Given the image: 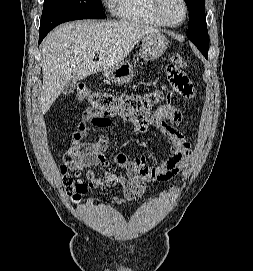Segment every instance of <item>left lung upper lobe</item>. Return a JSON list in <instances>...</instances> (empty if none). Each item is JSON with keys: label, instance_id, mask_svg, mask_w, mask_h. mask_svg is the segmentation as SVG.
Returning <instances> with one entry per match:
<instances>
[{"label": "left lung upper lobe", "instance_id": "obj_1", "mask_svg": "<svg viewBox=\"0 0 253 271\" xmlns=\"http://www.w3.org/2000/svg\"><path fill=\"white\" fill-rule=\"evenodd\" d=\"M185 2L190 14L187 37L204 56H207L208 30L205 17V0H185Z\"/></svg>", "mask_w": 253, "mask_h": 271}]
</instances>
